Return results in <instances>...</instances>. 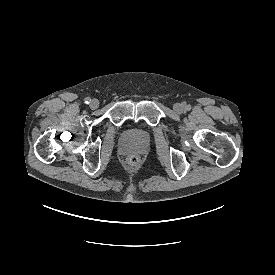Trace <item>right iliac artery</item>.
Masks as SVG:
<instances>
[{
	"mask_svg": "<svg viewBox=\"0 0 275 275\" xmlns=\"http://www.w3.org/2000/svg\"><path fill=\"white\" fill-rule=\"evenodd\" d=\"M85 103H86V104H89V103H90V99H89V98H86V99H85Z\"/></svg>",
	"mask_w": 275,
	"mask_h": 275,
	"instance_id": "1",
	"label": "right iliac artery"
}]
</instances>
